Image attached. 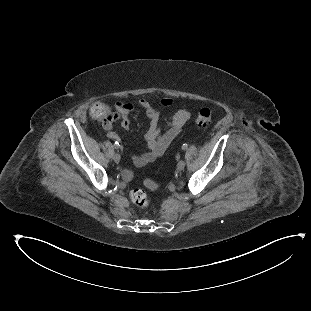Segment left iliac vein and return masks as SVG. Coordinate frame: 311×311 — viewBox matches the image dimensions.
Here are the masks:
<instances>
[{
  "instance_id": "left-iliac-vein-1",
  "label": "left iliac vein",
  "mask_w": 311,
  "mask_h": 311,
  "mask_svg": "<svg viewBox=\"0 0 311 311\" xmlns=\"http://www.w3.org/2000/svg\"><path fill=\"white\" fill-rule=\"evenodd\" d=\"M185 168V162L183 160H180L177 164V170L182 171Z\"/></svg>"
}]
</instances>
